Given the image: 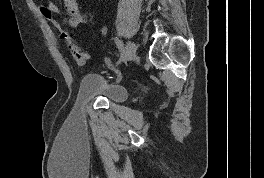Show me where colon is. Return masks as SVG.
I'll list each match as a JSON object with an SVG mask.
<instances>
[{"label":"colon","instance_id":"obj_1","mask_svg":"<svg viewBox=\"0 0 264 178\" xmlns=\"http://www.w3.org/2000/svg\"><path fill=\"white\" fill-rule=\"evenodd\" d=\"M39 10L47 21L52 25L54 29L58 31L60 37L66 42L69 52L71 53L74 60L79 65H85L89 60L90 56L88 53L83 51L73 40L72 36L66 31L62 25L53 18V14L44 5L39 6Z\"/></svg>","mask_w":264,"mask_h":178}]
</instances>
